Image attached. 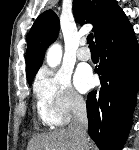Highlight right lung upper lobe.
I'll list each match as a JSON object with an SVG mask.
<instances>
[{
	"label": "right lung upper lobe",
	"mask_w": 139,
	"mask_h": 150,
	"mask_svg": "<svg viewBox=\"0 0 139 150\" xmlns=\"http://www.w3.org/2000/svg\"><path fill=\"white\" fill-rule=\"evenodd\" d=\"M75 18L80 23H92L96 42L102 32L122 11L116 0H73ZM59 19L53 10L43 12L34 22L26 50V74L31 82L42 65L47 47L55 41Z\"/></svg>",
	"instance_id": "obj_1"
}]
</instances>
